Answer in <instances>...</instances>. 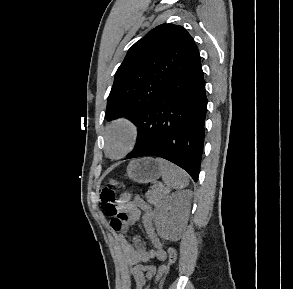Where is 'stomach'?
Instances as JSON below:
<instances>
[{"mask_svg": "<svg viewBox=\"0 0 293 289\" xmlns=\"http://www.w3.org/2000/svg\"><path fill=\"white\" fill-rule=\"evenodd\" d=\"M127 176L137 183L154 182L161 176V169L156 159L150 157L140 158L129 163Z\"/></svg>", "mask_w": 293, "mask_h": 289, "instance_id": "1", "label": "stomach"}]
</instances>
